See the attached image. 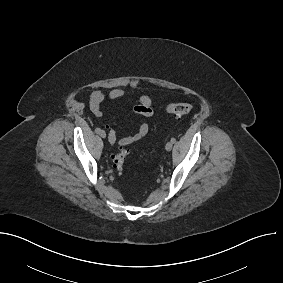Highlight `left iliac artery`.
Listing matches in <instances>:
<instances>
[{
	"label": "left iliac artery",
	"mask_w": 283,
	"mask_h": 283,
	"mask_svg": "<svg viewBox=\"0 0 283 283\" xmlns=\"http://www.w3.org/2000/svg\"><path fill=\"white\" fill-rule=\"evenodd\" d=\"M171 142H172V143H175V142H176V139H175V138H172V139H171Z\"/></svg>",
	"instance_id": "44dca946"
}]
</instances>
